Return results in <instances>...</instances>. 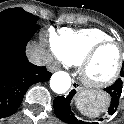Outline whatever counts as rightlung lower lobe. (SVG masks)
<instances>
[{
  "mask_svg": "<svg viewBox=\"0 0 124 124\" xmlns=\"http://www.w3.org/2000/svg\"><path fill=\"white\" fill-rule=\"evenodd\" d=\"M39 25L0 26V118L16 112L28 88L50 79L46 67L30 63L25 48Z\"/></svg>",
  "mask_w": 124,
  "mask_h": 124,
  "instance_id": "right-lung-lower-lobe-1",
  "label": "right lung lower lobe"
}]
</instances>
